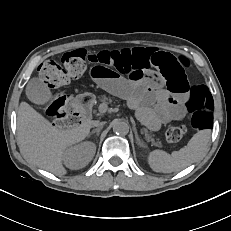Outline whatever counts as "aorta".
Returning a JSON list of instances; mask_svg holds the SVG:
<instances>
[{
    "instance_id": "obj_1",
    "label": "aorta",
    "mask_w": 231,
    "mask_h": 231,
    "mask_svg": "<svg viewBox=\"0 0 231 231\" xmlns=\"http://www.w3.org/2000/svg\"><path fill=\"white\" fill-rule=\"evenodd\" d=\"M113 132L118 135H126L129 132V125L119 119L113 121Z\"/></svg>"
}]
</instances>
